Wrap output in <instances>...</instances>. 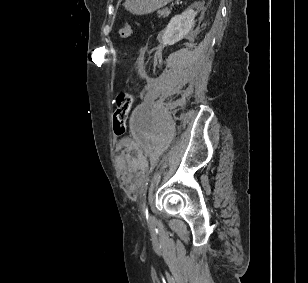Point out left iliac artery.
<instances>
[{
    "label": "left iliac artery",
    "instance_id": "1",
    "mask_svg": "<svg viewBox=\"0 0 308 283\" xmlns=\"http://www.w3.org/2000/svg\"><path fill=\"white\" fill-rule=\"evenodd\" d=\"M142 212H143L144 216L148 219L146 194H144V197H143V200H142Z\"/></svg>",
    "mask_w": 308,
    "mask_h": 283
}]
</instances>
